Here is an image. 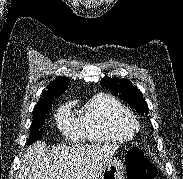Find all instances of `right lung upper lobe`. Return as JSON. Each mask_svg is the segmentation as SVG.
Wrapping results in <instances>:
<instances>
[{"mask_svg": "<svg viewBox=\"0 0 183 179\" xmlns=\"http://www.w3.org/2000/svg\"><path fill=\"white\" fill-rule=\"evenodd\" d=\"M69 79L66 77H58L51 82L46 90L43 91L42 97H40L39 103L36 106H42L52 102V99L62 95L67 89Z\"/></svg>", "mask_w": 183, "mask_h": 179, "instance_id": "cb5924a9", "label": "right lung upper lobe"}]
</instances>
